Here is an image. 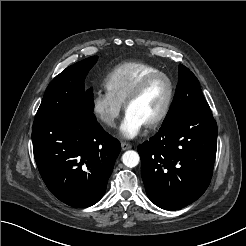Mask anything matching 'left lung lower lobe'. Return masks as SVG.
I'll list each match as a JSON object with an SVG mask.
<instances>
[{"label":"left lung lower lobe","mask_w":246,"mask_h":246,"mask_svg":"<svg viewBox=\"0 0 246 246\" xmlns=\"http://www.w3.org/2000/svg\"><path fill=\"white\" fill-rule=\"evenodd\" d=\"M216 149L217 124L209 106L163 124L150 141L138 147L150 200L165 210L196 201L211 181Z\"/></svg>","instance_id":"0a47b994"}]
</instances>
